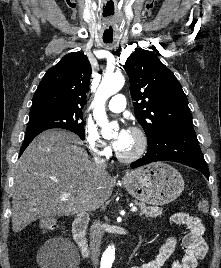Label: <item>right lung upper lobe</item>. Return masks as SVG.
<instances>
[{
    "mask_svg": "<svg viewBox=\"0 0 221 268\" xmlns=\"http://www.w3.org/2000/svg\"><path fill=\"white\" fill-rule=\"evenodd\" d=\"M90 75L91 66L83 53L67 54L42 78L33 96L30 113L45 110L82 111Z\"/></svg>",
    "mask_w": 221,
    "mask_h": 268,
    "instance_id": "obj_1",
    "label": "right lung upper lobe"
}]
</instances>
